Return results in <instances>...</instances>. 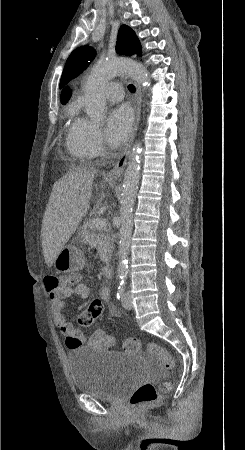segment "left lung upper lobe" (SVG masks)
<instances>
[{"instance_id":"1","label":"left lung upper lobe","mask_w":245,"mask_h":450,"mask_svg":"<svg viewBox=\"0 0 245 450\" xmlns=\"http://www.w3.org/2000/svg\"><path fill=\"white\" fill-rule=\"evenodd\" d=\"M116 46L117 51L120 54H125L127 56L141 54L138 38L134 31L125 25L118 31ZM95 55V50L89 46L79 47L74 50L65 64L60 81V88L86 69L94 59Z\"/></svg>"}]
</instances>
